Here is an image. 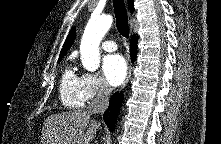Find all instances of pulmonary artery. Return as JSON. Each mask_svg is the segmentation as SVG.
Returning <instances> with one entry per match:
<instances>
[{
    "label": "pulmonary artery",
    "mask_w": 221,
    "mask_h": 144,
    "mask_svg": "<svg viewBox=\"0 0 221 144\" xmlns=\"http://www.w3.org/2000/svg\"><path fill=\"white\" fill-rule=\"evenodd\" d=\"M102 49L107 52H114L117 49V45L114 41H104L101 45Z\"/></svg>",
    "instance_id": "pulmonary-artery-1"
}]
</instances>
